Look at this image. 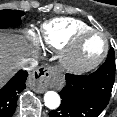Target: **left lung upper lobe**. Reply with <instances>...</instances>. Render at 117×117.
<instances>
[{
  "label": "left lung upper lobe",
  "mask_w": 117,
  "mask_h": 117,
  "mask_svg": "<svg viewBox=\"0 0 117 117\" xmlns=\"http://www.w3.org/2000/svg\"><path fill=\"white\" fill-rule=\"evenodd\" d=\"M101 66L103 69H108V72L115 73V55L113 48L110 49L106 61Z\"/></svg>",
  "instance_id": "left-lung-upper-lobe-1"
}]
</instances>
